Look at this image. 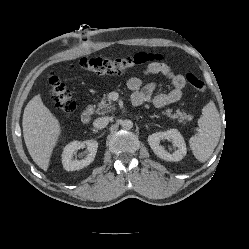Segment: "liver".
<instances>
[{"label":"liver","instance_id":"obj_1","mask_svg":"<svg viewBox=\"0 0 249 249\" xmlns=\"http://www.w3.org/2000/svg\"><path fill=\"white\" fill-rule=\"evenodd\" d=\"M22 126L30 156L41 169L47 171L52 151L61 134V126L43 104L40 95L34 96L26 105Z\"/></svg>","mask_w":249,"mask_h":249}]
</instances>
